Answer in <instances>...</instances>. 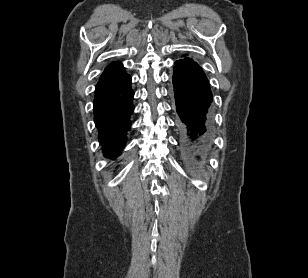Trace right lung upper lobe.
Here are the masks:
<instances>
[{"label": "right lung upper lobe", "instance_id": "cb5924a9", "mask_svg": "<svg viewBox=\"0 0 308 278\" xmlns=\"http://www.w3.org/2000/svg\"><path fill=\"white\" fill-rule=\"evenodd\" d=\"M127 76L120 62H114L105 68L98 84L112 83L124 79Z\"/></svg>", "mask_w": 308, "mask_h": 278}]
</instances>
